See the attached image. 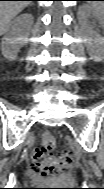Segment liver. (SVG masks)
Masks as SVG:
<instances>
[{
	"instance_id": "liver-1",
	"label": "liver",
	"mask_w": 104,
	"mask_h": 189,
	"mask_svg": "<svg viewBox=\"0 0 104 189\" xmlns=\"http://www.w3.org/2000/svg\"><path fill=\"white\" fill-rule=\"evenodd\" d=\"M29 4V1L0 2V31L2 34L8 30L11 20Z\"/></svg>"
}]
</instances>
